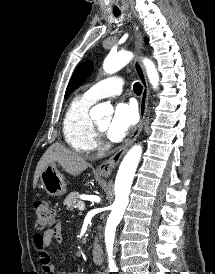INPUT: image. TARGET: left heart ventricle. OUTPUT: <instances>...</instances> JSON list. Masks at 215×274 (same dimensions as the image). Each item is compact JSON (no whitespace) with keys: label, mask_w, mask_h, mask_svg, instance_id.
Returning <instances> with one entry per match:
<instances>
[{"label":"left heart ventricle","mask_w":215,"mask_h":274,"mask_svg":"<svg viewBox=\"0 0 215 274\" xmlns=\"http://www.w3.org/2000/svg\"><path fill=\"white\" fill-rule=\"evenodd\" d=\"M96 123L101 129L104 130L107 128L109 121L108 120H99Z\"/></svg>","instance_id":"left-heart-ventricle-1"}]
</instances>
